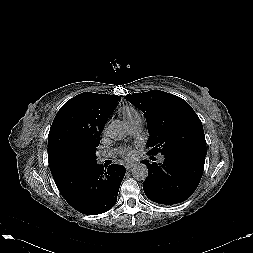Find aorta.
<instances>
[{
  "instance_id": "762f6f07",
  "label": "aorta",
  "mask_w": 253,
  "mask_h": 253,
  "mask_svg": "<svg viewBox=\"0 0 253 253\" xmlns=\"http://www.w3.org/2000/svg\"><path fill=\"white\" fill-rule=\"evenodd\" d=\"M127 126L121 121H114L107 127V135L115 140H120L127 135ZM132 176L136 180L144 181L148 177V167L145 164H135L132 168Z\"/></svg>"
}]
</instances>
